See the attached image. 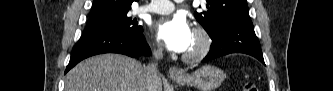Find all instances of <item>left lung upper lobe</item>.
I'll use <instances>...</instances> for the list:
<instances>
[{
    "mask_svg": "<svg viewBox=\"0 0 333 91\" xmlns=\"http://www.w3.org/2000/svg\"><path fill=\"white\" fill-rule=\"evenodd\" d=\"M207 11L197 13L195 18L210 37L216 35L226 24L250 19L246 0H206Z\"/></svg>",
    "mask_w": 333,
    "mask_h": 91,
    "instance_id": "1",
    "label": "left lung upper lobe"
}]
</instances>
